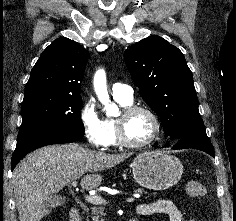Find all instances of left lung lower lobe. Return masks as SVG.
Returning <instances> with one entry per match:
<instances>
[{"label": "left lung lower lobe", "instance_id": "1", "mask_svg": "<svg viewBox=\"0 0 236 221\" xmlns=\"http://www.w3.org/2000/svg\"><path fill=\"white\" fill-rule=\"evenodd\" d=\"M194 148L214 157V149L206 133H191L177 139L173 149Z\"/></svg>", "mask_w": 236, "mask_h": 221}]
</instances>
